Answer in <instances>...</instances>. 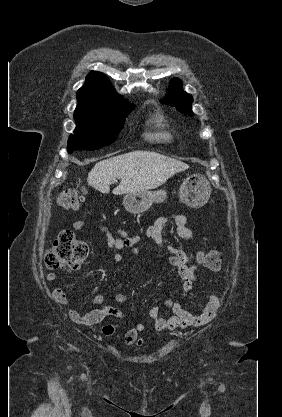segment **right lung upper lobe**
Returning <instances> with one entry per match:
<instances>
[{
    "instance_id": "right-lung-upper-lobe-1",
    "label": "right lung upper lobe",
    "mask_w": 282,
    "mask_h": 417,
    "mask_svg": "<svg viewBox=\"0 0 282 417\" xmlns=\"http://www.w3.org/2000/svg\"><path fill=\"white\" fill-rule=\"evenodd\" d=\"M121 97L112 87L108 78L100 73L92 71L86 77V82L77 92V98H103Z\"/></svg>"
}]
</instances>
